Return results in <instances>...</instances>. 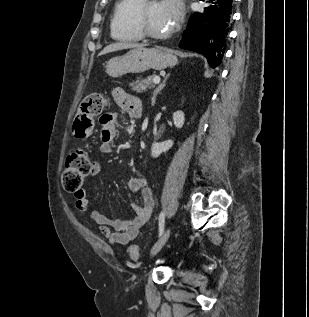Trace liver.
Masks as SVG:
<instances>
[{"label":"liver","mask_w":309,"mask_h":317,"mask_svg":"<svg viewBox=\"0 0 309 317\" xmlns=\"http://www.w3.org/2000/svg\"><path fill=\"white\" fill-rule=\"evenodd\" d=\"M145 44H137V43H128V42H116L106 46L100 53L99 56L105 55L111 52L129 49V48H139L144 47Z\"/></svg>","instance_id":"1"}]
</instances>
